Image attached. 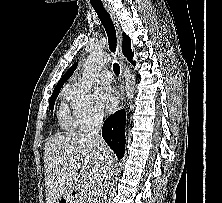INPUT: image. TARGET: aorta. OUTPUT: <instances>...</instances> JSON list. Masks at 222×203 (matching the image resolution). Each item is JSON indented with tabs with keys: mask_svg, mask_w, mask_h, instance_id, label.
<instances>
[{
	"mask_svg": "<svg viewBox=\"0 0 222 203\" xmlns=\"http://www.w3.org/2000/svg\"><path fill=\"white\" fill-rule=\"evenodd\" d=\"M112 56L110 54H104L99 52H93L88 57L78 88L83 93H89L94 81L97 78L98 73L102 69L103 65L110 62ZM125 76V91L128 100H132L134 97L135 90V75L131 73V70L126 67L124 71Z\"/></svg>",
	"mask_w": 222,
	"mask_h": 203,
	"instance_id": "762f6f07",
	"label": "aorta"
}]
</instances>
